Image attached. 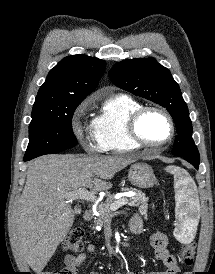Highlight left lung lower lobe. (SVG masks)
<instances>
[{"mask_svg":"<svg viewBox=\"0 0 215 274\" xmlns=\"http://www.w3.org/2000/svg\"><path fill=\"white\" fill-rule=\"evenodd\" d=\"M185 160L188 161L189 163H191L196 169H198L200 161L190 160V159H185Z\"/></svg>","mask_w":215,"mask_h":274,"instance_id":"obj_1","label":"left lung lower lobe"}]
</instances>
